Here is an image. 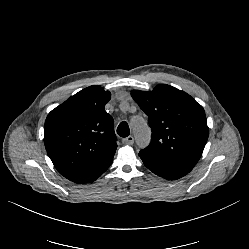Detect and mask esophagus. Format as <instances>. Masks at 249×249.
Masks as SVG:
<instances>
[{"instance_id":"obj_1","label":"esophagus","mask_w":249,"mask_h":249,"mask_svg":"<svg viewBox=\"0 0 249 249\" xmlns=\"http://www.w3.org/2000/svg\"><path fill=\"white\" fill-rule=\"evenodd\" d=\"M122 143L124 145H128V146L133 145L134 144V138H133V136H128L126 138H123Z\"/></svg>"}]
</instances>
